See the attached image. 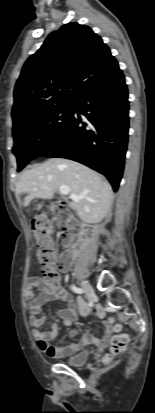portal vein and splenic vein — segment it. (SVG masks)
I'll list each match as a JSON object with an SVG mask.
<instances>
[{
  "label": "portal vein and splenic vein",
  "mask_w": 155,
  "mask_h": 413,
  "mask_svg": "<svg viewBox=\"0 0 155 413\" xmlns=\"http://www.w3.org/2000/svg\"><path fill=\"white\" fill-rule=\"evenodd\" d=\"M59 191H60V193H61L62 195H68V194H70V197H71L72 200H78V199L80 198V196L76 195L75 193H72V192L70 191V188H69L68 186L61 185V186L59 187Z\"/></svg>",
  "instance_id": "18ae733b"
}]
</instances>
